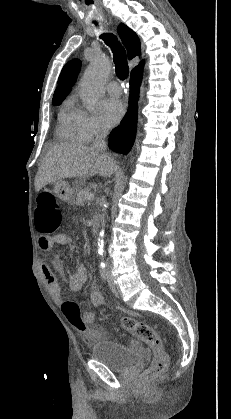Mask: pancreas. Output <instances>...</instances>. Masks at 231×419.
I'll return each mask as SVG.
<instances>
[{
    "label": "pancreas",
    "instance_id": "obj_1",
    "mask_svg": "<svg viewBox=\"0 0 231 419\" xmlns=\"http://www.w3.org/2000/svg\"><path fill=\"white\" fill-rule=\"evenodd\" d=\"M86 193H91V190L89 188L77 189L76 205L82 206L84 204V202L86 201Z\"/></svg>",
    "mask_w": 231,
    "mask_h": 419
}]
</instances>
